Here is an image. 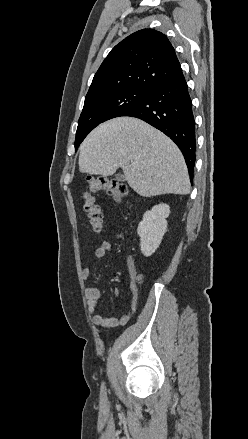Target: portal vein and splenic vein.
I'll return each instance as SVG.
<instances>
[{
  "mask_svg": "<svg viewBox=\"0 0 248 439\" xmlns=\"http://www.w3.org/2000/svg\"><path fill=\"white\" fill-rule=\"evenodd\" d=\"M137 165V163L136 162H132V166H136Z\"/></svg>",
  "mask_w": 248,
  "mask_h": 439,
  "instance_id": "portal-vein-and-splenic-vein-1",
  "label": "portal vein and splenic vein"
}]
</instances>
